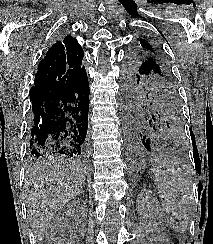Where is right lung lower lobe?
<instances>
[{
	"label": "right lung lower lobe",
	"mask_w": 213,
	"mask_h": 244,
	"mask_svg": "<svg viewBox=\"0 0 213 244\" xmlns=\"http://www.w3.org/2000/svg\"><path fill=\"white\" fill-rule=\"evenodd\" d=\"M29 149L33 157L87 152L89 83L86 71L66 89L31 97Z\"/></svg>",
	"instance_id": "98d812e1"
}]
</instances>
